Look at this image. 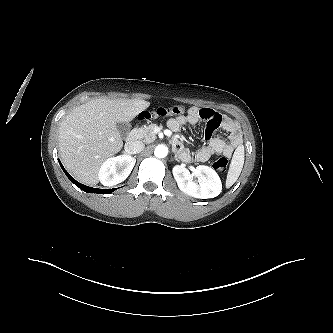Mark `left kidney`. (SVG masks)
<instances>
[{
    "instance_id": "1",
    "label": "left kidney",
    "mask_w": 333,
    "mask_h": 333,
    "mask_svg": "<svg viewBox=\"0 0 333 333\" xmlns=\"http://www.w3.org/2000/svg\"><path fill=\"white\" fill-rule=\"evenodd\" d=\"M173 176L179 189L195 198L207 199L218 196L222 190V183L219 175L210 167L199 165L194 174L181 165L173 167ZM193 176L198 178L193 181Z\"/></svg>"
}]
</instances>
